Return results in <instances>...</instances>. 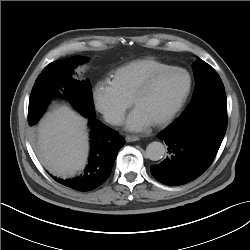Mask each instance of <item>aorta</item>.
Wrapping results in <instances>:
<instances>
[{
    "label": "aorta",
    "instance_id": "obj_1",
    "mask_svg": "<svg viewBox=\"0 0 250 250\" xmlns=\"http://www.w3.org/2000/svg\"><path fill=\"white\" fill-rule=\"evenodd\" d=\"M165 155V147L161 142H152L146 148V156L152 161H158Z\"/></svg>",
    "mask_w": 250,
    "mask_h": 250
}]
</instances>
